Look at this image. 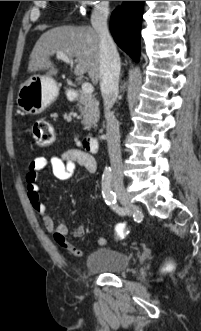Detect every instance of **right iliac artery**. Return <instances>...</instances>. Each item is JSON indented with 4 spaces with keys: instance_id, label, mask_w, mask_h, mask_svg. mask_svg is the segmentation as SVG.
<instances>
[{
    "instance_id": "obj_1",
    "label": "right iliac artery",
    "mask_w": 201,
    "mask_h": 331,
    "mask_svg": "<svg viewBox=\"0 0 201 331\" xmlns=\"http://www.w3.org/2000/svg\"><path fill=\"white\" fill-rule=\"evenodd\" d=\"M111 169L106 168L102 176V194L105 202L119 215H125L126 210L116 203V195L111 189Z\"/></svg>"
}]
</instances>
